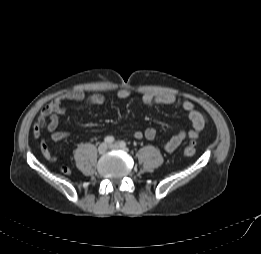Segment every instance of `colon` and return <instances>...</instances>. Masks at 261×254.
<instances>
[{"label":"colon","mask_w":261,"mask_h":254,"mask_svg":"<svg viewBox=\"0 0 261 254\" xmlns=\"http://www.w3.org/2000/svg\"><path fill=\"white\" fill-rule=\"evenodd\" d=\"M196 153V142L194 140H191L184 149V154L187 157H192ZM60 170L64 174H70V169L66 166H61Z\"/></svg>","instance_id":"colon-1"}]
</instances>
